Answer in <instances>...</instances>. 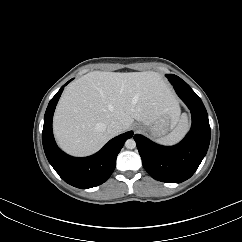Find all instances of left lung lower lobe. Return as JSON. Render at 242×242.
Listing matches in <instances>:
<instances>
[{
	"mask_svg": "<svg viewBox=\"0 0 242 242\" xmlns=\"http://www.w3.org/2000/svg\"><path fill=\"white\" fill-rule=\"evenodd\" d=\"M178 96L192 114V126L186 137L175 146H161L136 134L142 164L156 180L180 183L189 179L205 157L211 137L208 114L203 102L190 86H174Z\"/></svg>",
	"mask_w": 242,
	"mask_h": 242,
	"instance_id": "1",
	"label": "left lung lower lobe"
}]
</instances>
